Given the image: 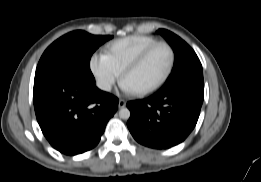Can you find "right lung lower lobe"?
I'll use <instances>...</instances> for the list:
<instances>
[{
	"label": "right lung lower lobe",
	"mask_w": 261,
	"mask_h": 182,
	"mask_svg": "<svg viewBox=\"0 0 261 182\" xmlns=\"http://www.w3.org/2000/svg\"><path fill=\"white\" fill-rule=\"evenodd\" d=\"M33 101L44 136L66 155L94 148L118 108L115 96L83 83L68 70L35 78Z\"/></svg>",
	"instance_id": "obj_1"
}]
</instances>
